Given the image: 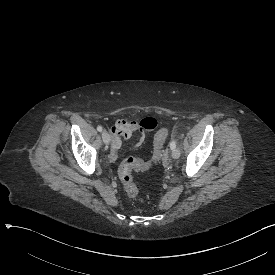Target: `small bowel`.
Listing matches in <instances>:
<instances>
[{"label": "small bowel", "mask_w": 275, "mask_h": 275, "mask_svg": "<svg viewBox=\"0 0 275 275\" xmlns=\"http://www.w3.org/2000/svg\"><path fill=\"white\" fill-rule=\"evenodd\" d=\"M160 125L161 120L159 118H142L140 120V126L134 120L125 121L120 118L115 119L113 123L108 125V130L114 135L109 155L110 161H117L122 137L131 139L133 137V132H135L139 134L137 145H141L144 141V132L155 130Z\"/></svg>", "instance_id": "obj_1"}]
</instances>
